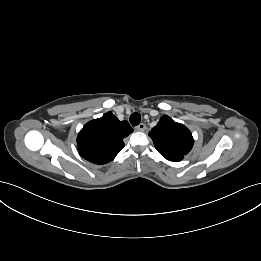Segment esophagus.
<instances>
[{"label": "esophagus", "instance_id": "obj_1", "mask_svg": "<svg viewBox=\"0 0 261 261\" xmlns=\"http://www.w3.org/2000/svg\"><path fill=\"white\" fill-rule=\"evenodd\" d=\"M146 125L144 123H140L138 126H136L137 131H145Z\"/></svg>", "mask_w": 261, "mask_h": 261}]
</instances>
